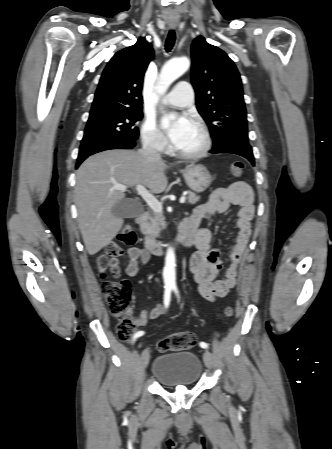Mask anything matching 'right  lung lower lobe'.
<instances>
[{"label":"right lung lower lobe","instance_id":"98d812e1","mask_svg":"<svg viewBox=\"0 0 332 449\" xmlns=\"http://www.w3.org/2000/svg\"><path fill=\"white\" fill-rule=\"evenodd\" d=\"M135 141L105 139L81 145L76 168L90 155L110 149H131Z\"/></svg>","mask_w":332,"mask_h":449}]
</instances>
